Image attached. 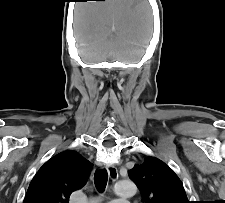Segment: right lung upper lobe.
<instances>
[{
	"mask_svg": "<svg viewBox=\"0 0 225 203\" xmlns=\"http://www.w3.org/2000/svg\"><path fill=\"white\" fill-rule=\"evenodd\" d=\"M92 164L75 151L48 160L32 179L23 203H69L87 181Z\"/></svg>",
	"mask_w": 225,
	"mask_h": 203,
	"instance_id": "right-lung-upper-lobe-1",
	"label": "right lung upper lobe"
}]
</instances>
